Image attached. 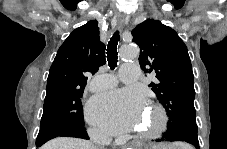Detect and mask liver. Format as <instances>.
Returning a JSON list of instances; mask_svg holds the SVG:
<instances>
[{
  "instance_id": "1",
  "label": "liver",
  "mask_w": 227,
  "mask_h": 149,
  "mask_svg": "<svg viewBox=\"0 0 227 149\" xmlns=\"http://www.w3.org/2000/svg\"><path fill=\"white\" fill-rule=\"evenodd\" d=\"M173 148L174 146H166ZM41 149H98L91 142L77 139L58 137L48 141Z\"/></svg>"
}]
</instances>
